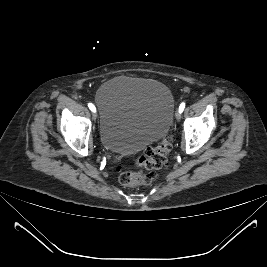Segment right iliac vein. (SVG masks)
<instances>
[{"mask_svg":"<svg viewBox=\"0 0 267 267\" xmlns=\"http://www.w3.org/2000/svg\"><path fill=\"white\" fill-rule=\"evenodd\" d=\"M96 118H97V113L94 112L93 113V119L96 120Z\"/></svg>","mask_w":267,"mask_h":267,"instance_id":"1","label":"right iliac vein"}]
</instances>
